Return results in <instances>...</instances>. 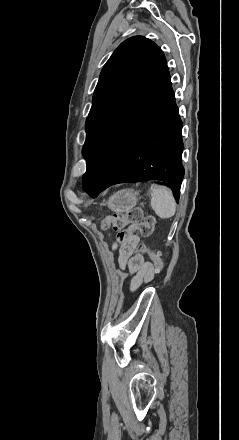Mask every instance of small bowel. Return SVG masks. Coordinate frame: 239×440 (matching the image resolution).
I'll use <instances>...</instances> for the list:
<instances>
[{"instance_id": "c3829d8e", "label": "small bowel", "mask_w": 239, "mask_h": 440, "mask_svg": "<svg viewBox=\"0 0 239 440\" xmlns=\"http://www.w3.org/2000/svg\"><path fill=\"white\" fill-rule=\"evenodd\" d=\"M139 237L133 235L124 242L118 239L113 244V250L118 251V264L121 269H128L131 277V290L137 289L141 284L152 280L155 274L154 266L145 262L141 254H135Z\"/></svg>"}]
</instances>
